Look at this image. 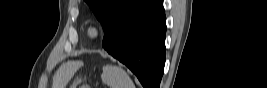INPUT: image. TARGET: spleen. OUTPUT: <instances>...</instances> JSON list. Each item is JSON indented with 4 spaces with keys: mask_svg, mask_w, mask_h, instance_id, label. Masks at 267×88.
<instances>
[{
    "mask_svg": "<svg viewBox=\"0 0 267 88\" xmlns=\"http://www.w3.org/2000/svg\"><path fill=\"white\" fill-rule=\"evenodd\" d=\"M101 78L110 88H135L128 73L115 65L104 66Z\"/></svg>",
    "mask_w": 267,
    "mask_h": 88,
    "instance_id": "spleen-1",
    "label": "spleen"
}]
</instances>
